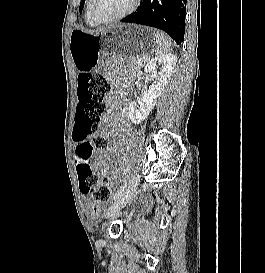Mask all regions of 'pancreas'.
Here are the masks:
<instances>
[{"mask_svg": "<svg viewBox=\"0 0 265 273\" xmlns=\"http://www.w3.org/2000/svg\"><path fill=\"white\" fill-rule=\"evenodd\" d=\"M144 60L142 57H135L130 60L131 65H143Z\"/></svg>", "mask_w": 265, "mask_h": 273, "instance_id": "1", "label": "pancreas"}]
</instances>
